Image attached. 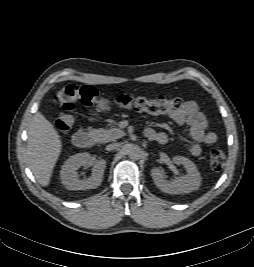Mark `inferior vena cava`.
Listing matches in <instances>:
<instances>
[{
  "instance_id": "obj_1",
  "label": "inferior vena cava",
  "mask_w": 254,
  "mask_h": 267,
  "mask_svg": "<svg viewBox=\"0 0 254 267\" xmlns=\"http://www.w3.org/2000/svg\"><path fill=\"white\" fill-rule=\"evenodd\" d=\"M118 147V145L117 144H109V145H107L106 146V150L107 151H112V150H114V149H116Z\"/></svg>"
}]
</instances>
